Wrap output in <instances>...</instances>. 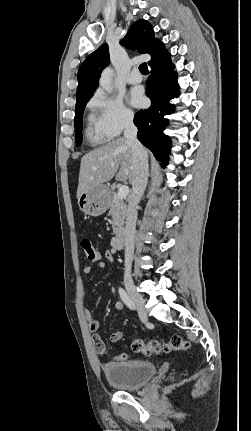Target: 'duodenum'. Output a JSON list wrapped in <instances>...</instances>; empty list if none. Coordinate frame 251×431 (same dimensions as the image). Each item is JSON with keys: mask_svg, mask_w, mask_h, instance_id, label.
Instances as JSON below:
<instances>
[{"mask_svg": "<svg viewBox=\"0 0 251 431\" xmlns=\"http://www.w3.org/2000/svg\"><path fill=\"white\" fill-rule=\"evenodd\" d=\"M111 244L114 249L122 250L125 246V233L119 231L111 240Z\"/></svg>", "mask_w": 251, "mask_h": 431, "instance_id": "obj_1", "label": "duodenum"}]
</instances>
